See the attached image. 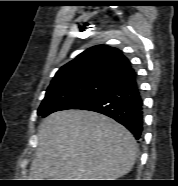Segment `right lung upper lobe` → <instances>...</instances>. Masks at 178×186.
<instances>
[{
	"label": "right lung upper lobe",
	"mask_w": 178,
	"mask_h": 186,
	"mask_svg": "<svg viewBox=\"0 0 178 186\" xmlns=\"http://www.w3.org/2000/svg\"><path fill=\"white\" fill-rule=\"evenodd\" d=\"M134 73L131 63L119 49L98 45L85 50L62 66L47 92L90 83L110 85Z\"/></svg>",
	"instance_id": "1"
}]
</instances>
